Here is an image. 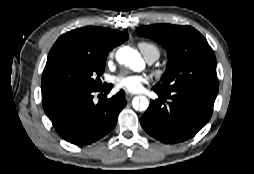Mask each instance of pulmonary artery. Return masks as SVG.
Wrapping results in <instances>:
<instances>
[{
    "instance_id": "e3ab8cb5",
    "label": "pulmonary artery",
    "mask_w": 254,
    "mask_h": 174,
    "mask_svg": "<svg viewBox=\"0 0 254 174\" xmlns=\"http://www.w3.org/2000/svg\"><path fill=\"white\" fill-rule=\"evenodd\" d=\"M155 60H156L155 58H149V59H147V62L148 63H153Z\"/></svg>"
}]
</instances>
